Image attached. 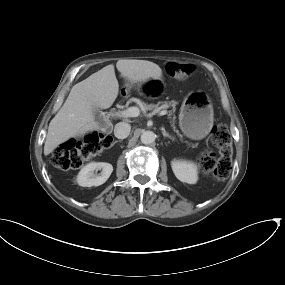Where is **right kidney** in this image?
Instances as JSON below:
<instances>
[{
	"label": "right kidney",
	"mask_w": 285,
	"mask_h": 285,
	"mask_svg": "<svg viewBox=\"0 0 285 285\" xmlns=\"http://www.w3.org/2000/svg\"><path fill=\"white\" fill-rule=\"evenodd\" d=\"M101 170L99 174L95 171ZM113 171V166L105 162H92L84 166L78 176L77 183L83 187L102 185L107 181Z\"/></svg>",
	"instance_id": "1"
}]
</instances>
